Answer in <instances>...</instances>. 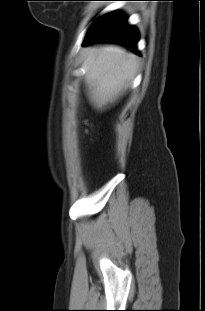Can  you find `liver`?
Instances as JSON below:
<instances>
[{
  "label": "liver",
  "instance_id": "6515ba94",
  "mask_svg": "<svg viewBox=\"0 0 205 311\" xmlns=\"http://www.w3.org/2000/svg\"><path fill=\"white\" fill-rule=\"evenodd\" d=\"M91 64L86 73L91 101L102 108L113 103L133 79L137 61L120 47L106 45L89 51Z\"/></svg>",
  "mask_w": 205,
  "mask_h": 311
}]
</instances>
